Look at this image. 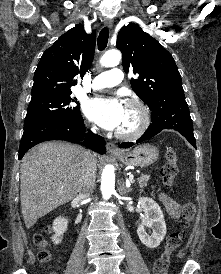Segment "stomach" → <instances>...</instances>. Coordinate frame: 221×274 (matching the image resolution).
<instances>
[{
  "mask_svg": "<svg viewBox=\"0 0 221 274\" xmlns=\"http://www.w3.org/2000/svg\"><path fill=\"white\" fill-rule=\"evenodd\" d=\"M159 156L158 149L150 144H143L130 152L121 153L116 157L126 166L147 167L156 162Z\"/></svg>",
  "mask_w": 221,
  "mask_h": 274,
  "instance_id": "stomach-1",
  "label": "stomach"
}]
</instances>
